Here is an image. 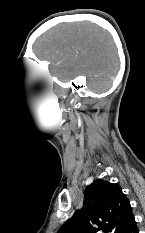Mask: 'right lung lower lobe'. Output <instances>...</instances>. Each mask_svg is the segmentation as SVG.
<instances>
[{
  "label": "right lung lower lobe",
  "instance_id": "right-lung-lower-lobe-1",
  "mask_svg": "<svg viewBox=\"0 0 145 233\" xmlns=\"http://www.w3.org/2000/svg\"><path fill=\"white\" fill-rule=\"evenodd\" d=\"M120 233H138V229L134 217Z\"/></svg>",
  "mask_w": 145,
  "mask_h": 233
}]
</instances>
